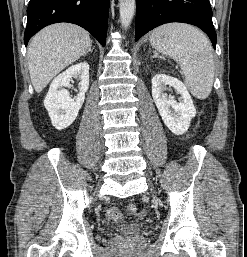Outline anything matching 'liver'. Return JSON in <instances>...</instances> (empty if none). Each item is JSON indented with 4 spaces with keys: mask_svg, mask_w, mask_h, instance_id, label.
I'll return each instance as SVG.
<instances>
[{
    "mask_svg": "<svg viewBox=\"0 0 247 257\" xmlns=\"http://www.w3.org/2000/svg\"><path fill=\"white\" fill-rule=\"evenodd\" d=\"M92 45L89 33L74 24L45 27L31 40L27 58L32 85L40 93L64 68L77 61Z\"/></svg>",
    "mask_w": 247,
    "mask_h": 257,
    "instance_id": "liver-1",
    "label": "liver"
}]
</instances>
